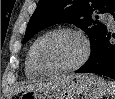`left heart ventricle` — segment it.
I'll use <instances>...</instances> for the list:
<instances>
[{
	"mask_svg": "<svg viewBox=\"0 0 115 99\" xmlns=\"http://www.w3.org/2000/svg\"><path fill=\"white\" fill-rule=\"evenodd\" d=\"M80 39L69 33L49 36L38 46L39 62L48 69H56L74 64L82 55Z\"/></svg>",
	"mask_w": 115,
	"mask_h": 99,
	"instance_id": "1",
	"label": "left heart ventricle"
}]
</instances>
